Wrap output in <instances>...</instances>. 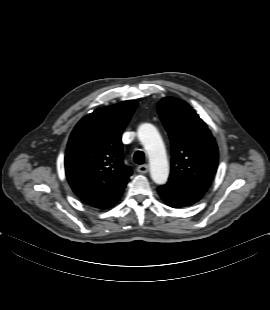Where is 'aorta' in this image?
<instances>
[{"label":"aorta","mask_w":270,"mask_h":310,"mask_svg":"<svg viewBox=\"0 0 270 310\" xmlns=\"http://www.w3.org/2000/svg\"><path fill=\"white\" fill-rule=\"evenodd\" d=\"M138 138L148 154L152 180L159 185L165 184L169 176V164L158 130L154 125L144 123L138 128Z\"/></svg>","instance_id":"aorta-1"}]
</instances>
